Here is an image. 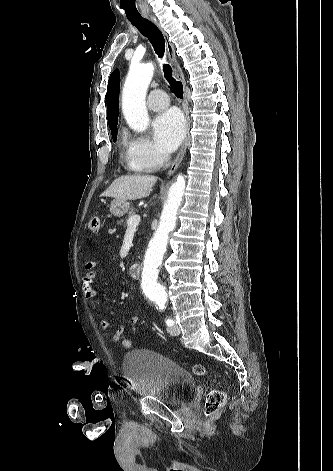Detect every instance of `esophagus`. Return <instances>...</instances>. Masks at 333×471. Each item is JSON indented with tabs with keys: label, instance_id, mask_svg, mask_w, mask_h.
<instances>
[{
	"label": "esophagus",
	"instance_id": "esophagus-1",
	"mask_svg": "<svg viewBox=\"0 0 333 471\" xmlns=\"http://www.w3.org/2000/svg\"><path fill=\"white\" fill-rule=\"evenodd\" d=\"M152 20V22L158 27V29L162 32L163 36H164V39H165V47H166V51H167V55H168V58L170 60V63L172 65V68L174 70V73L175 75L177 76V78L183 83V86L185 88V78H184V74L176 60V56H175V48L173 46V44L170 42L169 38H168V35L167 33L164 31V29L161 27L159 21L157 20L156 17H153L151 16L150 18ZM184 110H185V113H186V137H185V140H184V143L180 149V151L178 152L176 158L174 159L171 167L169 168L168 170V175H171L175 172V170L178 168V166L180 165L184 155H185V152H186V148H187V145H188V142H189V130H190V118H189V112H188V103H187V94H186V91L184 89Z\"/></svg>",
	"mask_w": 333,
	"mask_h": 471
}]
</instances>
